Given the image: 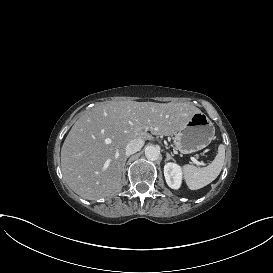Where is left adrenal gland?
Returning a JSON list of instances; mask_svg holds the SVG:
<instances>
[{
	"label": "left adrenal gland",
	"mask_w": 273,
	"mask_h": 273,
	"mask_svg": "<svg viewBox=\"0 0 273 273\" xmlns=\"http://www.w3.org/2000/svg\"><path fill=\"white\" fill-rule=\"evenodd\" d=\"M170 159L173 160V161H175V159L168 152H166L165 162L169 161Z\"/></svg>",
	"instance_id": "left-adrenal-gland-1"
}]
</instances>
